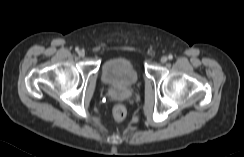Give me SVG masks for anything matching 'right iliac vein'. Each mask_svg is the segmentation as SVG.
Returning a JSON list of instances; mask_svg holds the SVG:
<instances>
[{
	"label": "right iliac vein",
	"instance_id": "63e3f726",
	"mask_svg": "<svg viewBox=\"0 0 244 157\" xmlns=\"http://www.w3.org/2000/svg\"><path fill=\"white\" fill-rule=\"evenodd\" d=\"M78 54H79L80 57H84V56H85V52H84V50H80V51L78 52Z\"/></svg>",
	"mask_w": 244,
	"mask_h": 157
}]
</instances>
